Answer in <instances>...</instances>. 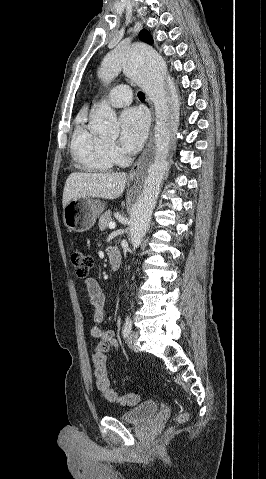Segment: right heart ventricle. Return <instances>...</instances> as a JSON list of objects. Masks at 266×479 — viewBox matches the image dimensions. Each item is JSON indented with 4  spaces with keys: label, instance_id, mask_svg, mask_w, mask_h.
I'll return each mask as SVG.
<instances>
[{
    "label": "right heart ventricle",
    "instance_id": "e07e8e85",
    "mask_svg": "<svg viewBox=\"0 0 266 479\" xmlns=\"http://www.w3.org/2000/svg\"><path fill=\"white\" fill-rule=\"evenodd\" d=\"M71 152L76 166L89 172H109L115 161L107 149V142L99 135L89 131L80 118L75 126Z\"/></svg>",
    "mask_w": 266,
    "mask_h": 479
}]
</instances>
